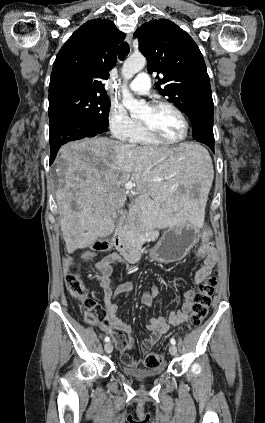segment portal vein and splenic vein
<instances>
[{
    "label": "portal vein and splenic vein",
    "mask_w": 265,
    "mask_h": 423,
    "mask_svg": "<svg viewBox=\"0 0 265 423\" xmlns=\"http://www.w3.org/2000/svg\"><path fill=\"white\" fill-rule=\"evenodd\" d=\"M134 186H135V183H133V182H127V183L124 185V188H125L127 191H129V190H131Z\"/></svg>",
    "instance_id": "18ae733b"
}]
</instances>
